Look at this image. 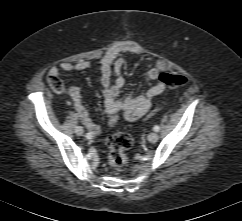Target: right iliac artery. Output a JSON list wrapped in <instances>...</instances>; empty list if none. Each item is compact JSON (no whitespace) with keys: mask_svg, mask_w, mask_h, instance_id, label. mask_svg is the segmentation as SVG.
<instances>
[{"mask_svg":"<svg viewBox=\"0 0 242 221\" xmlns=\"http://www.w3.org/2000/svg\"><path fill=\"white\" fill-rule=\"evenodd\" d=\"M86 137H87L88 139L91 138V137H92L91 133H87V134H86Z\"/></svg>","mask_w":242,"mask_h":221,"instance_id":"right-iliac-artery-1","label":"right iliac artery"}]
</instances>
